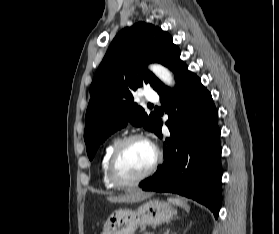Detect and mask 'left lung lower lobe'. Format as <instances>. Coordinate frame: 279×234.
<instances>
[{"mask_svg": "<svg viewBox=\"0 0 279 234\" xmlns=\"http://www.w3.org/2000/svg\"><path fill=\"white\" fill-rule=\"evenodd\" d=\"M178 50L168 64L177 87L162 82L155 89L166 107L170 137L164 141V163L139 186L145 191L171 192L207 206L217 218L221 206V146L218 112L200 78L188 70ZM162 121L155 134L162 138Z\"/></svg>", "mask_w": 279, "mask_h": 234, "instance_id": "left-lung-lower-lobe-1", "label": "left lung lower lobe"}]
</instances>
